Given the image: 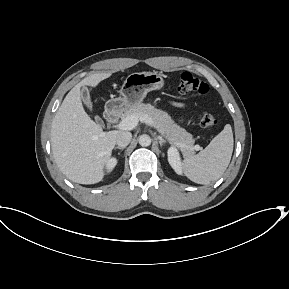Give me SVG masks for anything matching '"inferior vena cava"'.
I'll return each instance as SVG.
<instances>
[{
  "label": "inferior vena cava",
  "mask_w": 289,
  "mask_h": 289,
  "mask_svg": "<svg viewBox=\"0 0 289 289\" xmlns=\"http://www.w3.org/2000/svg\"><path fill=\"white\" fill-rule=\"evenodd\" d=\"M132 139V134L130 132L122 131L119 133L116 139V144L119 147H126Z\"/></svg>",
  "instance_id": "602c4592"
}]
</instances>
